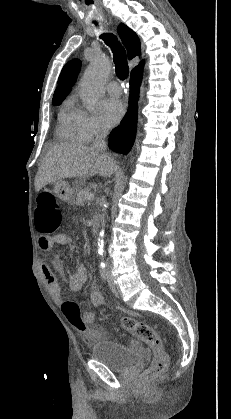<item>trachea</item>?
<instances>
[{
    "mask_svg": "<svg viewBox=\"0 0 231 419\" xmlns=\"http://www.w3.org/2000/svg\"><path fill=\"white\" fill-rule=\"evenodd\" d=\"M100 38L104 40L106 45H108L113 52L116 75L121 80H125L128 77L129 68L124 48L117 40V37L111 33L101 34Z\"/></svg>",
    "mask_w": 231,
    "mask_h": 419,
    "instance_id": "3493384b",
    "label": "trachea"
}]
</instances>
